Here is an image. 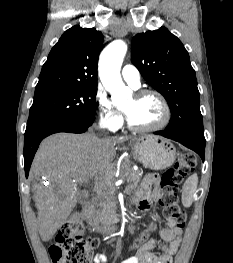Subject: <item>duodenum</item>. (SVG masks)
<instances>
[{
  "mask_svg": "<svg viewBox=\"0 0 233 263\" xmlns=\"http://www.w3.org/2000/svg\"><path fill=\"white\" fill-rule=\"evenodd\" d=\"M83 215H84V218L88 222L93 223V221H94L93 208H92L89 200L85 201V204L83 206ZM116 228H117V225L114 227V229H116ZM109 230H112V228H110Z\"/></svg>",
  "mask_w": 233,
  "mask_h": 263,
  "instance_id": "1",
  "label": "duodenum"
}]
</instances>
